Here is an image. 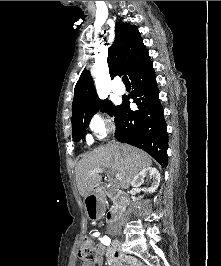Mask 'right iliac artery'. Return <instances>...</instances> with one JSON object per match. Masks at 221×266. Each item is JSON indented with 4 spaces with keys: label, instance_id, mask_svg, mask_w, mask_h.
<instances>
[{
    "label": "right iliac artery",
    "instance_id": "obj_1",
    "mask_svg": "<svg viewBox=\"0 0 221 266\" xmlns=\"http://www.w3.org/2000/svg\"><path fill=\"white\" fill-rule=\"evenodd\" d=\"M97 235L95 237H98L100 234L99 233H96ZM101 243H103L104 245H110L111 243V239L107 236H104L102 238H99Z\"/></svg>",
    "mask_w": 221,
    "mask_h": 266
}]
</instances>
